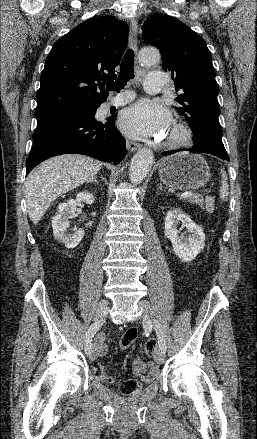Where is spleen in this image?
Returning a JSON list of instances; mask_svg holds the SVG:
<instances>
[{"label":"spleen","mask_w":257,"mask_h":439,"mask_svg":"<svg viewBox=\"0 0 257 439\" xmlns=\"http://www.w3.org/2000/svg\"><path fill=\"white\" fill-rule=\"evenodd\" d=\"M221 177H222V181L220 187V199L222 201H226L229 194V185L227 181L228 180L227 174L224 169H221Z\"/></svg>","instance_id":"obj_1"}]
</instances>
